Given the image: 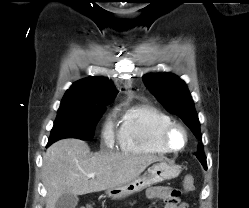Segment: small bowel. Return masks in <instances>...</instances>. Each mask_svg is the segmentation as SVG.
Listing matches in <instances>:
<instances>
[{
	"instance_id": "c3829d8e",
	"label": "small bowel",
	"mask_w": 249,
	"mask_h": 208,
	"mask_svg": "<svg viewBox=\"0 0 249 208\" xmlns=\"http://www.w3.org/2000/svg\"><path fill=\"white\" fill-rule=\"evenodd\" d=\"M151 199H162L165 201L164 208H187L186 203L181 202L180 193L177 189L167 186H152L147 190Z\"/></svg>"
}]
</instances>
